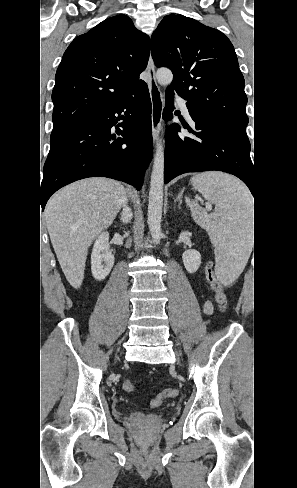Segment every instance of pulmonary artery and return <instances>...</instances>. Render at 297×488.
<instances>
[{
	"label": "pulmonary artery",
	"mask_w": 297,
	"mask_h": 488,
	"mask_svg": "<svg viewBox=\"0 0 297 488\" xmlns=\"http://www.w3.org/2000/svg\"><path fill=\"white\" fill-rule=\"evenodd\" d=\"M176 100H177V103L179 104V106H180L183 114L186 117L189 118L190 116H189V109H188V106H187V101L184 98L180 97V96H177L176 97Z\"/></svg>",
	"instance_id": "obj_1"
}]
</instances>
